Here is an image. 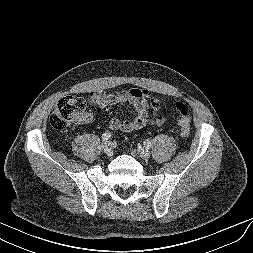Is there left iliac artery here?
<instances>
[{
	"label": "left iliac artery",
	"mask_w": 253,
	"mask_h": 253,
	"mask_svg": "<svg viewBox=\"0 0 253 253\" xmlns=\"http://www.w3.org/2000/svg\"><path fill=\"white\" fill-rule=\"evenodd\" d=\"M144 145L149 149L151 147V142L149 140H146L144 141Z\"/></svg>",
	"instance_id": "left-iliac-artery-1"
}]
</instances>
